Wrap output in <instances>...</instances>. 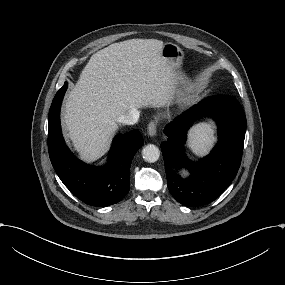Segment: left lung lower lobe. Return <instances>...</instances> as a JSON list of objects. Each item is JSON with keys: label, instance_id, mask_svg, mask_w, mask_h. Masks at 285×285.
Wrapping results in <instances>:
<instances>
[{"label": "left lung lower lobe", "instance_id": "0a47b994", "mask_svg": "<svg viewBox=\"0 0 285 285\" xmlns=\"http://www.w3.org/2000/svg\"><path fill=\"white\" fill-rule=\"evenodd\" d=\"M201 115H210L219 126V140L212 152L198 163H189L183 144L191 122ZM246 118L233 96L209 97L168 124L167 141L161 150L165 162L167 184L175 199L185 206H199L217 199L235 178L240 167ZM188 166L191 176L182 179L174 168Z\"/></svg>", "mask_w": 285, "mask_h": 285}]
</instances>
